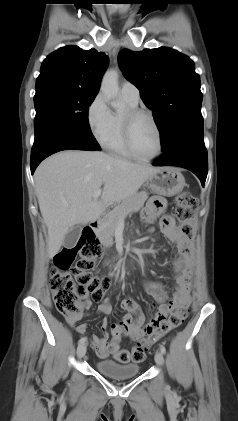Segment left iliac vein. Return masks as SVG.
I'll list each match as a JSON object with an SVG mask.
<instances>
[{
    "instance_id": "4c4485c4",
    "label": "left iliac vein",
    "mask_w": 238,
    "mask_h": 421,
    "mask_svg": "<svg viewBox=\"0 0 238 421\" xmlns=\"http://www.w3.org/2000/svg\"><path fill=\"white\" fill-rule=\"evenodd\" d=\"M155 362L159 366H162L164 364V357L161 352H157L155 354Z\"/></svg>"
}]
</instances>
